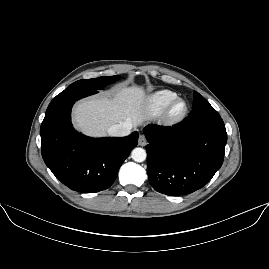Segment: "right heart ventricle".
I'll return each instance as SVG.
<instances>
[{
  "label": "right heart ventricle",
  "mask_w": 269,
  "mask_h": 269,
  "mask_svg": "<svg viewBox=\"0 0 269 269\" xmlns=\"http://www.w3.org/2000/svg\"><path fill=\"white\" fill-rule=\"evenodd\" d=\"M177 97L175 92L169 90L156 91L148 98V105L154 113H162L169 108Z\"/></svg>",
  "instance_id": "e07e8e85"
}]
</instances>
